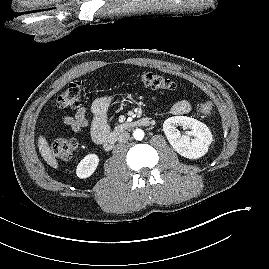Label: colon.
Returning <instances> with one entry per match:
<instances>
[{
	"label": "colon",
	"instance_id": "colon-1",
	"mask_svg": "<svg viewBox=\"0 0 269 269\" xmlns=\"http://www.w3.org/2000/svg\"><path fill=\"white\" fill-rule=\"evenodd\" d=\"M142 83L152 89L174 90L175 83L164 76L154 72H143L140 75ZM83 84L80 81L71 82L61 92L57 99L60 108H76L80 104ZM197 112L201 117L209 118L213 115V104L209 101L202 102L197 106ZM53 154L63 161L71 160L78 148V142L74 138L57 137L50 143Z\"/></svg>",
	"mask_w": 269,
	"mask_h": 269
}]
</instances>
